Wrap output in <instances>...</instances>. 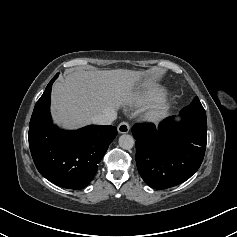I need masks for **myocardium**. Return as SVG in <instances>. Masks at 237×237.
Returning a JSON list of instances; mask_svg holds the SVG:
<instances>
[{"mask_svg":"<svg viewBox=\"0 0 237 237\" xmlns=\"http://www.w3.org/2000/svg\"><path fill=\"white\" fill-rule=\"evenodd\" d=\"M168 108L166 100H158L146 110L144 119L151 123L158 122L166 116Z\"/></svg>","mask_w":237,"mask_h":237,"instance_id":"1","label":"myocardium"}]
</instances>
